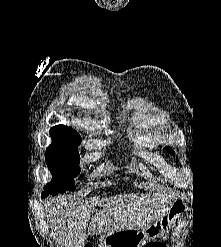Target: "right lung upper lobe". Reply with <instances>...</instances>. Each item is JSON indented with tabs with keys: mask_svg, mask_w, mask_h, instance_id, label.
I'll list each match as a JSON object with an SVG mask.
<instances>
[{
	"mask_svg": "<svg viewBox=\"0 0 221 247\" xmlns=\"http://www.w3.org/2000/svg\"><path fill=\"white\" fill-rule=\"evenodd\" d=\"M50 132L81 138L80 135L74 129H72L71 127L64 126V125H58V126L52 127Z\"/></svg>",
	"mask_w": 221,
	"mask_h": 247,
	"instance_id": "1",
	"label": "right lung upper lobe"
}]
</instances>
